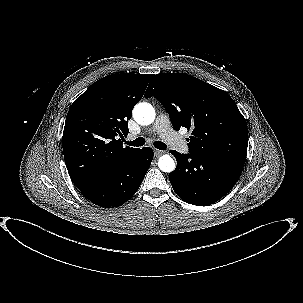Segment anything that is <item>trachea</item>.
<instances>
[{"label": "trachea", "instance_id": "3493384b", "mask_svg": "<svg viewBox=\"0 0 303 303\" xmlns=\"http://www.w3.org/2000/svg\"><path fill=\"white\" fill-rule=\"evenodd\" d=\"M127 145L140 147L145 144V139L143 137H138L134 141H126ZM154 146L159 150H165L167 148L166 144L161 141L154 142Z\"/></svg>", "mask_w": 303, "mask_h": 303}]
</instances>
